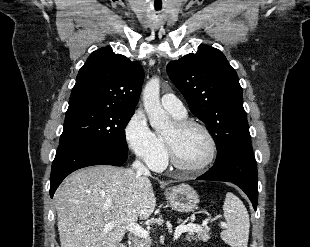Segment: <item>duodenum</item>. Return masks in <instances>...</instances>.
<instances>
[{
  "label": "duodenum",
  "instance_id": "obj_1",
  "mask_svg": "<svg viewBox=\"0 0 310 247\" xmlns=\"http://www.w3.org/2000/svg\"><path fill=\"white\" fill-rule=\"evenodd\" d=\"M119 247H126L124 244H120Z\"/></svg>",
  "mask_w": 310,
  "mask_h": 247
}]
</instances>
